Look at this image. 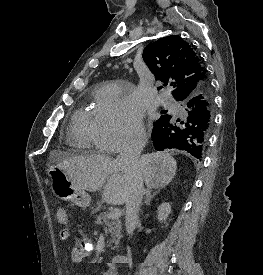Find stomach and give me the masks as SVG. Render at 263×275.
<instances>
[{"label":"stomach","mask_w":263,"mask_h":275,"mask_svg":"<svg viewBox=\"0 0 263 275\" xmlns=\"http://www.w3.org/2000/svg\"><path fill=\"white\" fill-rule=\"evenodd\" d=\"M47 174L51 180V190L57 198L72 202L83 208L90 206L91 198L88 193L77 188L73 181L57 165L50 164Z\"/></svg>","instance_id":"stomach-1"}]
</instances>
